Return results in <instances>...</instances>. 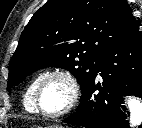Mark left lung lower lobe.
I'll return each mask as SVG.
<instances>
[{
    "label": "left lung lower lobe",
    "mask_w": 142,
    "mask_h": 128,
    "mask_svg": "<svg viewBox=\"0 0 142 128\" xmlns=\"http://www.w3.org/2000/svg\"><path fill=\"white\" fill-rule=\"evenodd\" d=\"M98 72L102 83L95 81ZM125 95L142 98V35L138 29L104 53L76 113L63 122L86 128H128V113L122 105Z\"/></svg>",
    "instance_id": "left-lung-lower-lobe-1"
}]
</instances>
